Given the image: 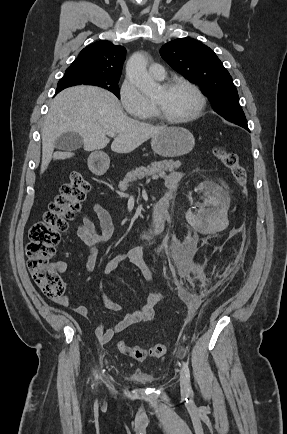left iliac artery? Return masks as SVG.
Returning <instances> with one entry per match:
<instances>
[{
  "mask_svg": "<svg viewBox=\"0 0 287 434\" xmlns=\"http://www.w3.org/2000/svg\"><path fill=\"white\" fill-rule=\"evenodd\" d=\"M182 369H183L185 376L187 378L189 394H193V390H192V387L190 384V370H189L188 364L183 362Z\"/></svg>",
  "mask_w": 287,
  "mask_h": 434,
  "instance_id": "44dca946",
  "label": "left iliac artery"
}]
</instances>
